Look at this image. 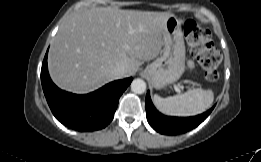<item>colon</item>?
Returning <instances> with one entry per match:
<instances>
[{
	"label": "colon",
	"instance_id": "5ec220e1",
	"mask_svg": "<svg viewBox=\"0 0 261 162\" xmlns=\"http://www.w3.org/2000/svg\"><path fill=\"white\" fill-rule=\"evenodd\" d=\"M184 35L187 45L204 70L205 80L209 83L218 79V66L221 54L212 47L211 32L199 26L192 20H187L184 25Z\"/></svg>",
	"mask_w": 261,
	"mask_h": 162
}]
</instances>
